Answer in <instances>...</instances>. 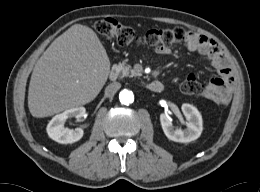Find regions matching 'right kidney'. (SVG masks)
I'll return each instance as SVG.
<instances>
[{
    "label": "right kidney",
    "mask_w": 260,
    "mask_h": 192,
    "mask_svg": "<svg viewBox=\"0 0 260 192\" xmlns=\"http://www.w3.org/2000/svg\"><path fill=\"white\" fill-rule=\"evenodd\" d=\"M86 109L84 107H74L55 115L47 125V133L51 139L61 144L74 143L83 136L81 128L69 129L64 127V123L69 118L79 119L84 116Z\"/></svg>",
    "instance_id": "right-kidney-1"
}]
</instances>
